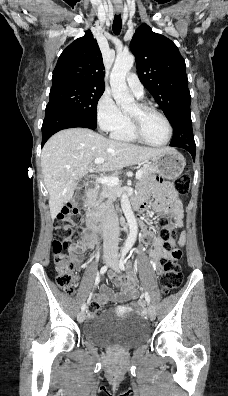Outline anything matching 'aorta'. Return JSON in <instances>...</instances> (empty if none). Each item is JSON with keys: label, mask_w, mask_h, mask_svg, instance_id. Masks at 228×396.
<instances>
[{"label": "aorta", "mask_w": 228, "mask_h": 396, "mask_svg": "<svg viewBox=\"0 0 228 396\" xmlns=\"http://www.w3.org/2000/svg\"><path fill=\"white\" fill-rule=\"evenodd\" d=\"M134 60L135 58L132 54L118 55L110 74V86L113 98L123 111L131 109L135 103L134 97L129 92L126 84V75L132 68ZM121 207L129 225V235L124 245V250L128 251L136 241L138 225L126 192L121 196Z\"/></svg>", "instance_id": "obj_1"}]
</instances>
